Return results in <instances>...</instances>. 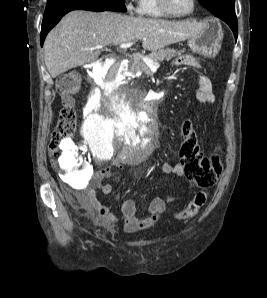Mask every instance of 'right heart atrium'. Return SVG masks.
Wrapping results in <instances>:
<instances>
[{
    "label": "right heart atrium",
    "instance_id": "1",
    "mask_svg": "<svg viewBox=\"0 0 267 298\" xmlns=\"http://www.w3.org/2000/svg\"><path fill=\"white\" fill-rule=\"evenodd\" d=\"M125 8L130 14L138 13L139 0H124Z\"/></svg>",
    "mask_w": 267,
    "mask_h": 298
}]
</instances>
